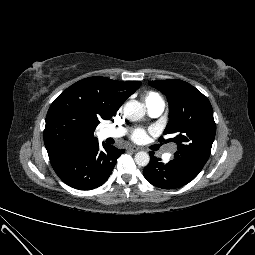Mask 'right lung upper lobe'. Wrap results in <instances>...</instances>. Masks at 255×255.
<instances>
[{
    "label": "right lung upper lobe",
    "instance_id": "cb5924a9",
    "mask_svg": "<svg viewBox=\"0 0 255 255\" xmlns=\"http://www.w3.org/2000/svg\"><path fill=\"white\" fill-rule=\"evenodd\" d=\"M141 82H120L89 77L76 82L51 104L44 130L49 158L97 142L94 130L109 120Z\"/></svg>",
    "mask_w": 255,
    "mask_h": 255
}]
</instances>
